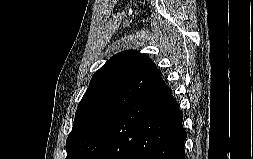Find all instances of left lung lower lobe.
<instances>
[{
	"instance_id": "0a47b994",
	"label": "left lung lower lobe",
	"mask_w": 253,
	"mask_h": 159,
	"mask_svg": "<svg viewBox=\"0 0 253 159\" xmlns=\"http://www.w3.org/2000/svg\"><path fill=\"white\" fill-rule=\"evenodd\" d=\"M182 120L160 76L120 112L92 159H185Z\"/></svg>"
}]
</instances>
